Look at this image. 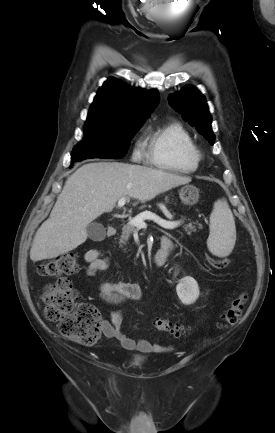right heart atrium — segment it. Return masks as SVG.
<instances>
[{
  "instance_id": "1",
  "label": "right heart atrium",
  "mask_w": 275,
  "mask_h": 433,
  "mask_svg": "<svg viewBox=\"0 0 275 433\" xmlns=\"http://www.w3.org/2000/svg\"><path fill=\"white\" fill-rule=\"evenodd\" d=\"M142 148L140 145H137L133 152V159L138 160L141 157Z\"/></svg>"
}]
</instances>
